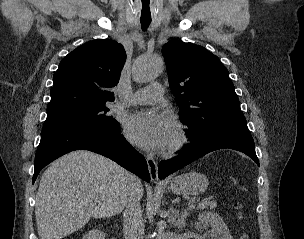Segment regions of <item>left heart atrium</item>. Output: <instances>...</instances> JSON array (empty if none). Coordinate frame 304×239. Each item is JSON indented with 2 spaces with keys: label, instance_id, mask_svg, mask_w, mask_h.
Masks as SVG:
<instances>
[{
  "label": "left heart atrium",
  "instance_id": "obj_1",
  "mask_svg": "<svg viewBox=\"0 0 304 239\" xmlns=\"http://www.w3.org/2000/svg\"><path fill=\"white\" fill-rule=\"evenodd\" d=\"M125 131L134 144L157 151L169 144L175 131V123L166 114L140 111L127 120Z\"/></svg>",
  "mask_w": 304,
  "mask_h": 239
}]
</instances>
